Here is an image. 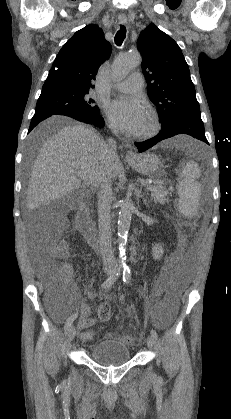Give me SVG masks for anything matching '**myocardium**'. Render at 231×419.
<instances>
[{
	"label": "myocardium",
	"mask_w": 231,
	"mask_h": 419,
	"mask_svg": "<svg viewBox=\"0 0 231 419\" xmlns=\"http://www.w3.org/2000/svg\"><path fill=\"white\" fill-rule=\"evenodd\" d=\"M146 115L149 119L148 127L144 131L136 133V137L140 139H148L154 136L160 129V121L157 113L152 109H148Z\"/></svg>",
	"instance_id": "obj_1"
}]
</instances>
